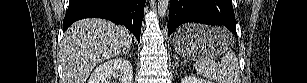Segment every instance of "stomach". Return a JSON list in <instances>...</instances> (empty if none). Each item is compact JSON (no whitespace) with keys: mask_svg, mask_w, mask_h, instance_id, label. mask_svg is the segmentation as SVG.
Masks as SVG:
<instances>
[{"mask_svg":"<svg viewBox=\"0 0 307 83\" xmlns=\"http://www.w3.org/2000/svg\"><path fill=\"white\" fill-rule=\"evenodd\" d=\"M233 44V36L223 28L185 24L174 34L173 45L181 56L199 60L215 58Z\"/></svg>","mask_w":307,"mask_h":83,"instance_id":"1","label":"stomach"}]
</instances>
